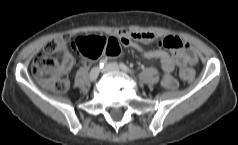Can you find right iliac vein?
I'll list each match as a JSON object with an SVG mask.
<instances>
[{"label":"right iliac vein","mask_w":238,"mask_h":145,"mask_svg":"<svg viewBox=\"0 0 238 145\" xmlns=\"http://www.w3.org/2000/svg\"><path fill=\"white\" fill-rule=\"evenodd\" d=\"M100 74V68L99 67H94L91 71H90V74H89V79L91 81H94L98 78Z\"/></svg>","instance_id":"right-iliac-vein-1"}]
</instances>
